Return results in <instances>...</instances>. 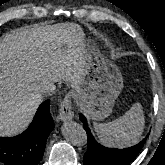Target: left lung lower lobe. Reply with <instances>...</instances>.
Returning a JSON list of instances; mask_svg holds the SVG:
<instances>
[{"instance_id":"obj_1","label":"left lung lower lobe","mask_w":165,"mask_h":165,"mask_svg":"<svg viewBox=\"0 0 165 165\" xmlns=\"http://www.w3.org/2000/svg\"><path fill=\"white\" fill-rule=\"evenodd\" d=\"M80 120L87 133L88 148L84 154V165H129L142 149L146 138L135 146L116 149L100 145L92 136L86 118L80 114Z\"/></svg>"}]
</instances>
